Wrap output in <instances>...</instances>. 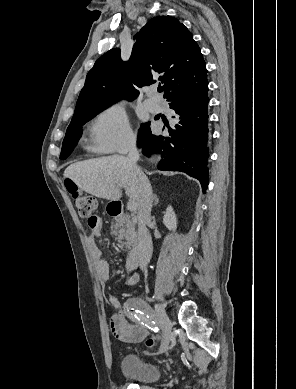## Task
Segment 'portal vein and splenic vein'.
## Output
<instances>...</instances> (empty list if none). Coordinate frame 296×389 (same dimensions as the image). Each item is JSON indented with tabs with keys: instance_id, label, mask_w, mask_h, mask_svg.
Wrapping results in <instances>:
<instances>
[{
	"instance_id": "obj_1",
	"label": "portal vein and splenic vein",
	"mask_w": 296,
	"mask_h": 389,
	"mask_svg": "<svg viewBox=\"0 0 296 389\" xmlns=\"http://www.w3.org/2000/svg\"><path fill=\"white\" fill-rule=\"evenodd\" d=\"M127 209H128L129 211H135V210L137 209V203L134 202V201L128 202V204H127Z\"/></svg>"
}]
</instances>
